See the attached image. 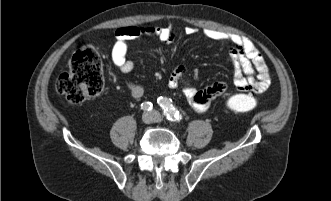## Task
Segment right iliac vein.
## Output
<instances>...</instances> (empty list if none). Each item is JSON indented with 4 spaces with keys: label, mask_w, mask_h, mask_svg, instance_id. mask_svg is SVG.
Returning <instances> with one entry per match:
<instances>
[{
    "label": "right iliac vein",
    "mask_w": 331,
    "mask_h": 201,
    "mask_svg": "<svg viewBox=\"0 0 331 201\" xmlns=\"http://www.w3.org/2000/svg\"><path fill=\"white\" fill-rule=\"evenodd\" d=\"M142 120H143L144 123L149 124L153 120L152 114L151 113H144L143 116H142Z\"/></svg>",
    "instance_id": "1"
}]
</instances>
